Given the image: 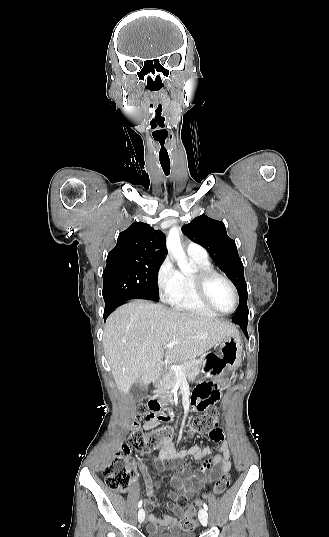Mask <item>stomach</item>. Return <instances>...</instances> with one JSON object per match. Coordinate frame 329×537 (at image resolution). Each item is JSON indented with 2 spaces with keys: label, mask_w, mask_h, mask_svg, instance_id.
I'll return each instance as SVG.
<instances>
[{
  "label": "stomach",
  "mask_w": 329,
  "mask_h": 537,
  "mask_svg": "<svg viewBox=\"0 0 329 537\" xmlns=\"http://www.w3.org/2000/svg\"><path fill=\"white\" fill-rule=\"evenodd\" d=\"M219 354L208 353L200 372L204 378L217 379L222 376L221 368L234 371L241 363L243 343L239 333L228 335L219 343Z\"/></svg>",
  "instance_id": "1"
}]
</instances>
